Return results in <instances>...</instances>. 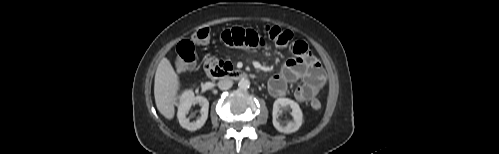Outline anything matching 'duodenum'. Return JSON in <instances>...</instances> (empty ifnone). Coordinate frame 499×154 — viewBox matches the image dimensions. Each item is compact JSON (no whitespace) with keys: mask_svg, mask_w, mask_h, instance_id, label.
<instances>
[{"mask_svg":"<svg viewBox=\"0 0 499 154\" xmlns=\"http://www.w3.org/2000/svg\"><path fill=\"white\" fill-rule=\"evenodd\" d=\"M208 72L212 79H230L240 81L248 77L247 73L240 70L221 71L218 68H211Z\"/></svg>","mask_w":499,"mask_h":154,"instance_id":"obj_1","label":"duodenum"}]
</instances>
